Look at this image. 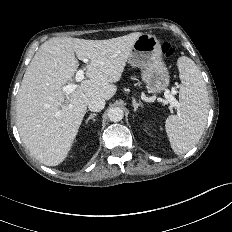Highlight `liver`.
<instances>
[{
  "instance_id": "liver-1",
  "label": "liver",
  "mask_w": 232,
  "mask_h": 232,
  "mask_svg": "<svg viewBox=\"0 0 232 232\" xmlns=\"http://www.w3.org/2000/svg\"><path fill=\"white\" fill-rule=\"evenodd\" d=\"M134 32L107 40L56 37L44 42L26 69L16 104L17 128L31 155L46 166L67 157L93 98H112L139 36ZM79 60L88 59L86 77L66 95Z\"/></svg>"
}]
</instances>
